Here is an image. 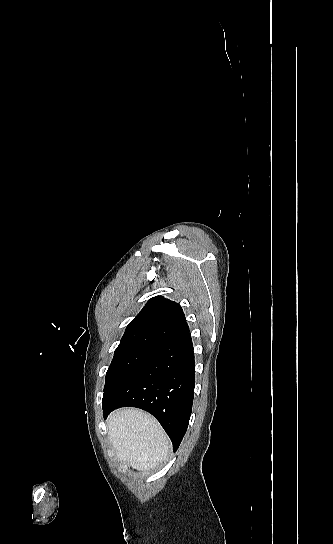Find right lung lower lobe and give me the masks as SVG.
I'll use <instances>...</instances> for the list:
<instances>
[{"instance_id":"1","label":"right lung lower lobe","mask_w":333,"mask_h":544,"mask_svg":"<svg viewBox=\"0 0 333 544\" xmlns=\"http://www.w3.org/2000/svg\"><path fill=\"white\" fill-rule=\"evenodd\" d=\"M195 360L191 336L185 333L152 347L128 381L102 406L103 417L132 406L157 418L176 451L192 412Z\"/></svg>"}]
</instances>
